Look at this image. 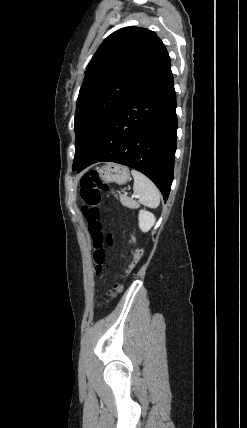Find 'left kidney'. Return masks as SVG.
Wrapping results in <instances>:
<instances>
[{
  "label": "left kidney",
  "mask_w": 247,
  "mask_h": 428,
  "mask_svg": "<svg viewBox=\"0 0 247 428\" xmlns=\"http://www.w3.org/2000/svg\"><path fill=\"white\" fill-rule=\"evenodd\" d=\"M138 219H139V228L143 232H148L156 221L155 216L149 211H146L145 209H141L139 211Z\"/></svg>",
  "instance_id": "5707ae66"
}]
</instances>
